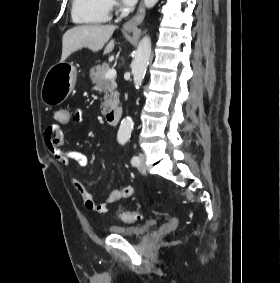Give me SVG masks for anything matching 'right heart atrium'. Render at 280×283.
Wrapping results in <instances>:
<instances>
[{
	"instance_id": "1",
	"label": "right heart atrium",
	"mask_w": 280,
	"mask_h": 283,
	"mask_svg": "<svg viewBox=\"0 0 280 283\" xmlns=\"http://www.w3.org/2000/svg\"><path fill=\"white\" fill-rule=\"evenodd\" d=\"M109 7H110V9H114L116 7V4L113 3V2H110L109 3Z\"/></svg>"
}]
</instances>
